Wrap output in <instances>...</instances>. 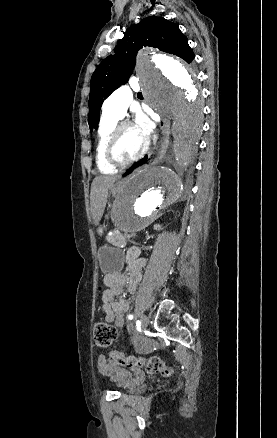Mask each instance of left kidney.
Returning <instances> with one entry per match:
<instances>
[{"mask_svg": "<svg viewBox=\"0 0 277 438\" xmlns=\"http://www.w3.org/2000/svg\"><path fill=\"white\" fill-rule=\"evenodd\" d=\"M154 230H163V228L160 226V224H156V226H154Z\"/></svg>", "mask_w": 277, "mask_h": 438, "instance_id": "left-kidney-1", "label": "left kidney"}]
</instances>
